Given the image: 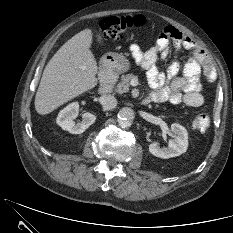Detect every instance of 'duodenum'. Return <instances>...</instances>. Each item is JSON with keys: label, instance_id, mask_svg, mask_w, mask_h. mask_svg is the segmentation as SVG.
Returning a JSON list of instances; mask_svg holds the SVG:
<instances>
[{"label": "duodenum", "instance_id": "obj_1", "mask_svg": "<svg viewBox=\"0 0 233 233\" xmlns=\"http://www.w3.org/2000/svg\"><path fill=\"white\" fill-rule=\"evenodd\" d=\"M117 76V71L115 66L113 65V60H106L102 63L99 78H100V86L99 93L104 95L108 94L113 87ZM149 103L148 99L143 100L142 104L146 105Z\"/></svg>", "mask_w": 233, "mask_h": 233}]
</instances>
